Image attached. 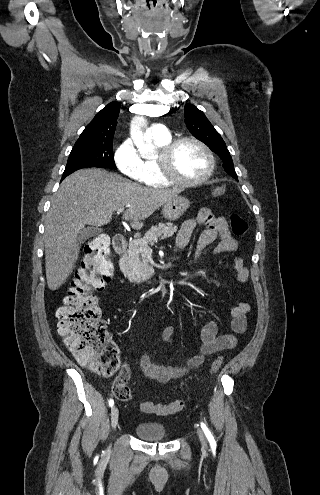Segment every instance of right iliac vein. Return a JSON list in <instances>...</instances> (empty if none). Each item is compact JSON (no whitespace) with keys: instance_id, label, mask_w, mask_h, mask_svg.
Instances as JSON below:
<instances>
[{"instance_id":"1","label":"right iliac vein","mask_w":320,"mask_h":495,"mask_svg":"<svg viewBox=\"0 0 320 495\" xmlns=\"http://www.w3.org/2000/svg\"><path fill=\"white\" fill-rule=\"evenodd\" d=\"M118 419H119V411L117 407H113L111 411V424L114 430L116 429V426L118 424Z\"/></svg>"}]
</instances>
